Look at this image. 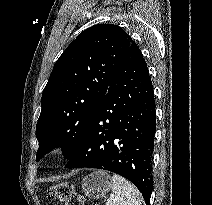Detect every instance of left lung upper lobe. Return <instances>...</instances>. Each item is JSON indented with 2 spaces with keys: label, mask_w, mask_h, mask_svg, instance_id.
Listing matches in <instances>:
<instances>
[{
  "label": "left lung upper lobe",
  "mask_w": 212,
  "mask_h": 205,
  "mask_svg": "<svg viewBox=\"0 0 212 205\" xmlns=\"http://www.w3.org/2000/svg\"><path fill=\"white\" fill-rule=\"evenodd\" d=\"M131 43L121 27L98 24L80 33L65 49L43 90L36 126L37 161L56 146L63 147L65 159L75 155Z\"/></svg>",
  "instance_id": "obj_1"
}]
</instances>
